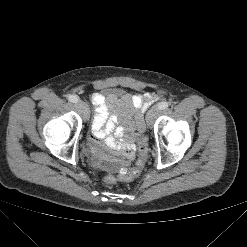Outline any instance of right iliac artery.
<instances>
[{
  "label": "right iliac artery",
  "mask_w": 247,
  "mask_h": 247,
  "mask_svg": "<svg viewBox=\"0 0 247 247\" xmlns=\"http://www.w3.org/2000/svg\"><path fill=\"white\" fill-rule=\"evenodd\" d=\"M68 100L72 103H76L78 101V97L75 95H69Z\"/></svg>",
  "instance_id": "82829eb1"
}]
</instances>
